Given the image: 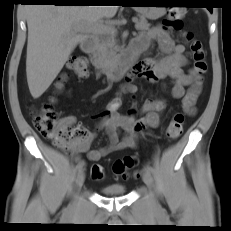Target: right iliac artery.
<instances>
[{
    "label": "right iliac artery",
    "instance_id": "obj_1",
    "mask_svg": "<svg viewBox=\"0 0 231 231\" xmlns=\"http://www.w3.org/2000/svg\"><path fill=\"white\" fill-rule=\"evenodd\" d=\"M83 165L82 164H77L75 171L80 172L82 170Z\"/></svg>",
    "mask_w": 231,
    "mask_h": 231
}]
</instances>
